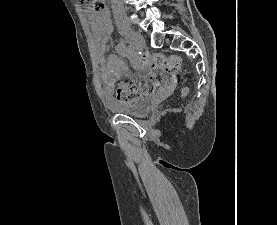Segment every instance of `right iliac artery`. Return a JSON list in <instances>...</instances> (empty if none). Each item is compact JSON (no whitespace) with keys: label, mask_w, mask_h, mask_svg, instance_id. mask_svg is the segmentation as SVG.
Wrapping results in <instances>:
<instances>
[{"label":"right iliac artery","mask_w":277,"mask_h":225,"mask_svg":"<svg viewBox=\"0 0 277 225\" xmlns=\"http://www.w3.org/2000/svg\"><path fill=\"white\" fill-rule=\"evenodd\" d=\"M128 47L131 49V50H134L135 49V45L134 43L130 40L128 41Z\"/></svg>","instance_id":"obj_1"}]
</instances>
